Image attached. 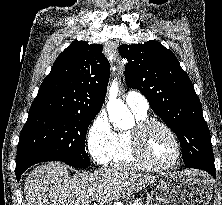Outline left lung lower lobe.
<instances>
[{
    "mask_svg": "<svg viewBox=\"0 0 222 205\" xmlns=\"http://www.w3.org/2000/svg\"><path fill=\"white\" fill-rule=\"evenodd\" d=\"M183 160L186 167L204 170L210 173L213 177H215V166L213 161L201 158L192 153L184 155Z\"/></svg>",
    "mask_w": 222,
    "mask_h": 205,
    "instance_id": "1",
    "label": "left lung lower lobe"
}]
</instances>
